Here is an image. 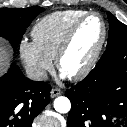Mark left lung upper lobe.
I'll return each instance as SVG.
<instances>
[{"label": "left lung upper lobe", "instance_id": "5c2ea615", "mask_svg": "<svg viewBox=\"0 0 127 127\" xmlns=\"http://www.w3.org/2000/svg\"><path fill=\"white\" fill-rule=\"evenodd\" d=\"M107 14L110 29L108 35V45L104 53L111 51L113 48L119 45H127V26L117 20L116 17H114L110 12Z\"/></svg>", "mask_w": 127, "mask_h": 127}]
</instances>
